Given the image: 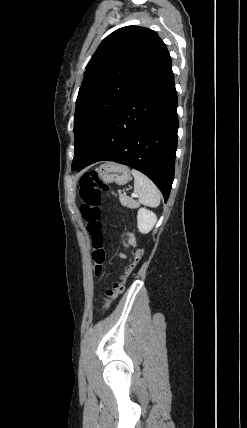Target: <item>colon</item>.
Segmentation results:
<instances>
[{
  "label": "colon",
  "mask_w": 247,
  "mask_h": 428,
  "mask_svg": "<svg viewBox=\"0 0 247 428\" xmlns=\"http://www.w3.org/2000/svg\"><path fill=\"white\" fill-rule=\"evenodd\" d=\"M109 191V186L103 183L95 172L84 174L80 179V197L83 201L82 214L87 222V230L91 235L92 244V260L94 263V273L96 276L100 275L107 258V251L105 248V239L101 231L100 219V205L102 202V196L104 192ZM107 244L111 246L113 239L108 236L106 240ZM142 257V250L137 249L133 253L132 261L129 266V270L121 281L116 282L111 288H109L103 297V308L107 309L112 301L120 295L125 288V283L128 276L139 264Z\"/></svg>",
  "instance_id": "obj_1"
}]
</instances>
